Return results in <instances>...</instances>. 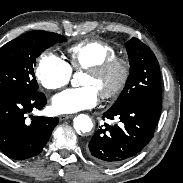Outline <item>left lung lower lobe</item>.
Returning a JSON list of instances; mask_svg holds the SVG:
<instances>
[{"label":"left lung lower lobe","mask_w":183,"mask_h":183,"mask_svg":"<svg viewBox=\"0 0 183 183\" xmlns=\"http://www.w3.org/2000/svg\"><path fill=\"white\" fill-rule=\"evenodd\" d=\"M161 102L139 100L109 109L103 119L119 118L120 124H104L89 142L90 155L103 166L120 164L138 154L153 138Z\"/></svg>","instance_id":"obj_1"}]
</instances>
